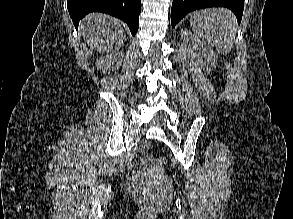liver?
<instances>
[{
	"instance_id": "obj_1",
	"label": "liver",
	"mask_w": 293,
	"mask_h": 219,
	"mask_svg": "<svg viewBox=\"0 0 293 219\" xmlns=\"http://www.w3.org/2000/svg\"><path fill=\"white\" fill-rule=\"evenodd\" d=\"M80 31L91 47L99 53L119 49L126 39L121 23L101 13L89 14L80 22Z\"/></svg>"
}]
</instances>
